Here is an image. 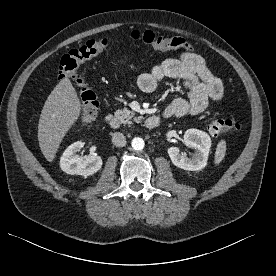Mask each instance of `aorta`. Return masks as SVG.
<instances>
[{
    "label": "aorta",
    "mask_w": 276,
    "mask_h": 276,
    "mask_svg": "<svg viewBox=\"0 0 276 276\" xmlns=\"http://www.w3.org/2000/svg\"><path fill=\"white\" fill-rule=\"evenodd\" d=\"M132 148L136 151H140L144 148V140L140 137H135L131 142Z\"/></svg>",
    "instance_id": "1"
}]
</instances>
